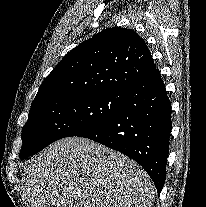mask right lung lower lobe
I'll list each match as a JSON object with an SVG mask.
<instances>
[{
  "label": "right lung lower lobe",
  "instance_id": "obj_1",
  "mask_svg": "<svg viewBox=\"0 0 206 207\" xmlns=\"http://www.w3.org/2000/svg\"><path fill=\"white\" fill-rule=\"evenodd\" d=\"M171 103L158 69L130 86L120 109L76 136L117 150L139 163L153 180L158 195L166 177Z\"/></svg>",
  "mask_w": 206,
  "mask_h": 207
}]
</instances>
